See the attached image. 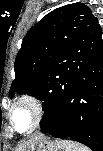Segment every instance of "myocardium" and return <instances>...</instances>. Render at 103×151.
Masks as SVG:
<instances>
[{
	"label": "myocardium",
	"instance_id": "1",
	"mask_svg": "<svg viewBox=\"0 0 103 151\" xmlns=\"http://www.w3.org/2000/svg\"><path fill=\"white\" fill-rule=\"evenodd\" d=\"M21 105L29 106L33 112V118H34L33 124L26 131L17 130L14 125L13 118H12L13 111ZM7 118H8V121H9L11 127L17 133H19L21 135H28V134H31V133L35 132L36 130H38L41 127V125L43 124V122L45 120V108H44L42 101L36 95L30 94V93H23V94L19 95L18 97H16L15 100L11 103V105L8 109V112H7Z\"/></svg>",
	"mask_w": 103,
	"mask_h": 151
}]
</instances>
